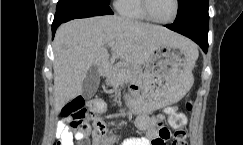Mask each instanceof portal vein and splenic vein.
I'll use <instances>...</instances> for the list:
<instances>
[{"label": "portal vein and splenic vein", "mask_w": 243, "mask_h": 145, "mask_svg": "<svg viewBox=\"0 0 243 145\" xmlns=\"http://www.w3.org/2000/svg\"><path fill=\"white\" fill-rule=\"evenodd\" d=\"M115 45V42L114 41H110L108 44H107V47H113Z\"/></svg>", "instance_id": "18ae733b"}]
</instances>
